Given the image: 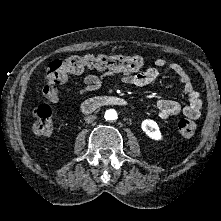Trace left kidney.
Returning <instances> with one entry per match:
<instances>
[{"mask_svg":"<svg viewBox=\"0 0 221 221\" xmlns=\"http://www.w3.org/2000/svg\"><path fill=\"white\" fill-rule=\"evenodd\" d=\"M142 130L145 132V134L150 137L153 140H161L162 135L159 130L158 124L151 119H146L142 121L141 124Z\"/></svg>","mask_w":221,"mask_h":221,"instance_id":"1","label":"left kidney"}]
</instances>
